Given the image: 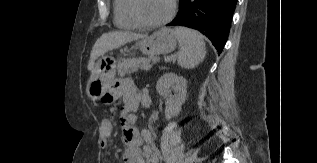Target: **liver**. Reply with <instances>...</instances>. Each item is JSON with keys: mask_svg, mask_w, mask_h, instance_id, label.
<instances>
[{"mask_svg": "<svg viewBox=\"0 0 317 163\" xmlns=\"http://www.w3.org/2000/svg\"><path fill=\"white\" fill-rule=\"evenodd\" d=\"M142 38H144V35L124 31H113L103 34L95 42L92 48L87 65L88 70H93L96 59L103 56L108 51L117 49L129 42L137 41Z\"/></svg>", "mask_w": 317, "mask_h": 163, "instance_id": "liver-1", "label": "liver"}]
</instances>
